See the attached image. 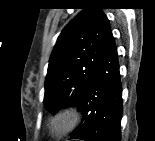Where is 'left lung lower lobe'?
I'll list each match as a JSON object with an SVG mask.
<instances>
[{
    "label": "left lung lower lobe",
    "instance_id": "0a47b994",
    "mask_svg": "<svg viewBox=\"0 0 155 141\" xmlns=\"http://www.w3.org/2000/svg\"><path fill=\"white\" fill-rule=\"evenodd\" d=\"M83 123L71 134L84 141H121L122 85L114 38L77 105Z\"/></svg>",
    "mask_w": 155,
    "mask_h": 141
}]
</instances>
